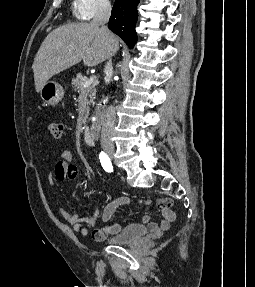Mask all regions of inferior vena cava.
Listing matches in <instances>:
<instances>
[{
  "mask_svg": "<svg viewBox=\"0 0 255 287\" xmlns=\"http://www.w3.org/2000/svg\"><path fill=\"white\" fill-rule=\"evenodd\" d=\"M111 16V6L110 2L107 0H98L96 14L92 20V24H98L101 26L100 30L105 34L106 38L110 36L111 32H109L107 26L109 18ZM104 74H105V84H109L112 78V64L111 60L107 62L104 66ZM106 124L102 126L101 130V145L102 147H114L112 142V132L114 130V124L116 120V110L113 106H109L106 114Z\"/></svg>",
  "mask_w": 255,
  "mask_h": 287,
  "instance_id": "1",
  "label": "inferior vena cava"
}]
</instances>
